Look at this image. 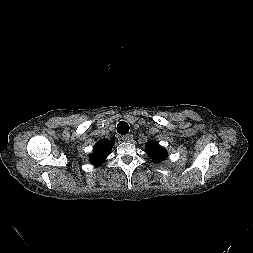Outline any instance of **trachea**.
<instances>
[{
    "label": "trachea",
    "mask_w": 253,
    "mask_h": 253,
    "mask_svg": "<svg viewBox=\"0 0 253 253\" xmlns=\"http://www.w3.org/2000/svg\"><path fill=\"white\" fill-rule=\"evenodd\" d=\"M117 132L121 135H125L129 132V125L125 121H120L117 125Z\"/></svg>",
    "instance_id": "1"
}]
</instances>
